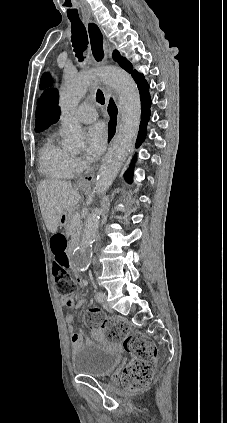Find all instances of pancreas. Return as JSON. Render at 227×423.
Returning a JSON list of instances; mask_svg holds the SVG:
<instances>
[{"mask_svg": "<svg viewBox=\"0 0 227 423\" xmlns=\"http://www.w3.org/2000/svg\"><path fill=\"white\" fill-rule=\"evenodd\" d=\"M74 213H77V211L69 210L66 223V231L68 235H71L72 239H78V237H80L82 227L81 225H79V223H73L72 215H74Z\"/></svg>", "mask_w": 227, "mask_h": 423, "instance_id": "pancreas-1", "label": "pancreas"}]
</instances>
